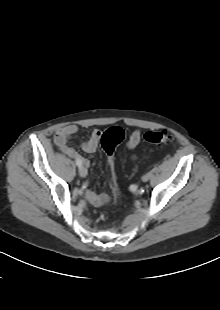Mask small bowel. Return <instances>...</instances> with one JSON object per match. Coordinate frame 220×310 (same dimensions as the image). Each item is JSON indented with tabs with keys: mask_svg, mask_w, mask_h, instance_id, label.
<instances>
[{
	"mask_svg": "<svg viewBox=\"0 0 220 310\" xmlns=\"http://www.w3.org/2000/svg\"><path fill=\"white\" fill-rule=\"evenodd\" d=\"M79 131V128L76 125H66L60 128L55 136L54 142L58 148L67 156L73 159H79L82 164L86 167L89 166V161L82 157L74 148L69 145V140L72 136L76 135ZM100 131L94 130L89 138L81 143V149L85 153H94L99 144L100 140ZM141 140V133L139 130H134L128 135L127 147L129 149H135ZM87 201L94 206H102L108 201V197L105 194H98L93 191L86 192Z\"/></svg>",
	"mask_w": 220,
	"mask_h": 310,
	"instance_id": "1",
	"label": "small bowel"
}]
</instances>
